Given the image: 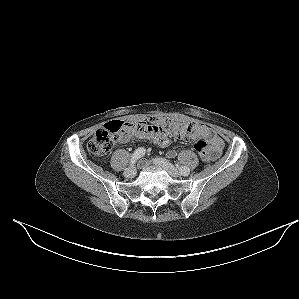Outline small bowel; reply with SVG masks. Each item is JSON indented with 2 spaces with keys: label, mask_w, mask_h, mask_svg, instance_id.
Here are the masks:
<instances>
[{
  "label": "small bowel",
  "mask_w": 299,
  "mask_h": 299,
  "mask_svg": "<svg viewBox=\"0 0 299 299\" xmlns=\"http://www.w3.org/2000/svg\"><path fill=\"white\" fill-rule=\"evenodd\" d=\"M131 136L151 139L161 147H166L169 143L166 138V134L158 129L139 130L137 128L129 129L120 142L128 141ZM199 139L207 141L209 161L215 160L220 155L223 148V140L220 136L204 124H196L195 130L190 136V140L195 141ZM167 156L169 158H174L176 156V152L174 150H170L167 153Z\"/></svg>",
  "instance_id": "small-bowel-1"
}]
</instances>
